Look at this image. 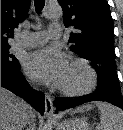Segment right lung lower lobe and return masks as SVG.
<instances>
[{
  "instance_id": "right-lung-lower-lobe-1",
  "label": "right lung lower lobe",
  "mask_w": 123,
  "mask_h": 130,
  "mask_svg": "<svg viewBox=\"0 0 123 130\" xmlns=\"http://www.w3.org/2000/svg\"><path fill=\"white\" fill-rule=\"evenodd\" d=\"M1 87H4L31 104L40 114L44 113V94L33 90L19 68L1 64Z\"/></svg>"
}]
</instances>
